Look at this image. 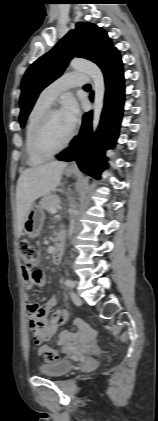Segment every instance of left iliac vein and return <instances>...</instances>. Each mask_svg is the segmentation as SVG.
Instances as JSON below:
<instances>
[{"mask_svg":"<svg viewBox=\"0 0 158 421\" xmlns=\"http://www.w3.org/2000/svg\"><path fill=\"white\" fill-rule=\"evenodd\" d=\"M71 298H72V301L76 304V305H81L82 304V300H81V298L75 293V292H72L71 293Z\"/></svg>","mask_w":158,"mask_h":421,"instance_id":"4c4485c4","label":"left iliac vein"}]
</instances>
